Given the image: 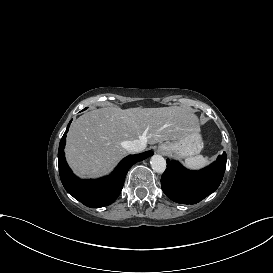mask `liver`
Returning a JSON list of instances; mask_svg holds the SVG:
<instances>
[{
  "label": "liver",
  "instance_id": "obj_1",
  "mask_svg": "<svg viewBox=\"0 0 273 273\" xmlns=\"http://www.w3.org/2000/svg\"><path fill=\"white\" fill-rule=\"evenodd\" d=\"M200 134L199 117L189 107L106 106L84 113L71 124L64 152L80 179L108 178L128 156V141L155 144Z\"/></svg>",
  "mask_w": 273,
  "mask_h": 273
}]
</instances>
